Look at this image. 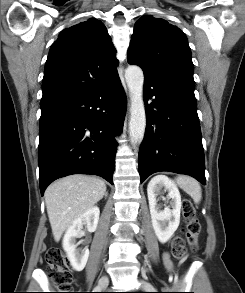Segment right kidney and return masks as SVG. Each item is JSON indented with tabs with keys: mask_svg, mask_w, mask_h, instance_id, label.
Here are the masks:
<instances>
[{
	"mask_svg": "<svg viewBox=\"0 0 245 293\" xmlns=\"http://www.w3.org/2000/svg\"><path fill=\"white\" fill-rule=\"evenodd\" d=\"M100 210L97 206L91 207L78 218L73 220L66 230L63 238V249L67 254L71 266L76 271H82L89 257V249L77 248L76 238L79 237L83 224H86L88 232H94L99 221Z\"/></svg>",
	"mask_w": 245,
	"mask_h": 293,
	"instance_id": "1",
	"label": "right kidney"
}]
</instances>
